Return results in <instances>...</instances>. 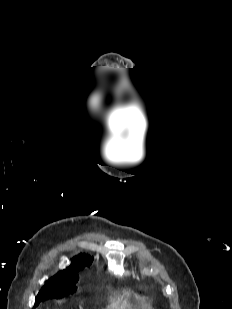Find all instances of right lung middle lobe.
<instances>
[{"mask_svg": "<svg viewBox=\"0 0 232 309\" xmlns=\"http://www.w3.org/2000/svg\"><path fill=\"white\" fill-rule=\"evenodd\" d=\"M75 282H61L56 284L45 283L36 296L35 307L46 299L58 298L61 295H69L75 292Z\"/></svg>", "mask_w": 232, "mask_h": 309, "instance_id": "right-lung-middle-lobe-1", "label": "right lung middle lobe"}]
</instances>
